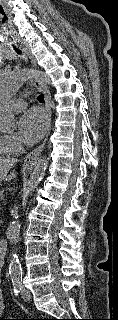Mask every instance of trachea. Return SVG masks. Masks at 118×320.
<instances>
[{
  "instance_id": "obj_1",
  "label": "trachea",
  "mask_w": 118,
  "mask_h": 320,
  "mask_svg": "<svg viewBox=\"0 0 118 320\" xmlns=\"http://www.w3.org/2000/svg\"><path fill=\"white\" fill-rule=\"evenodd\" d=\"M14 49L17 51V53L20 54V52H19L15 47H14ZM38 101L41 102V103L44 102V96H43V94H41V95L38 96Z\"/></svg>"
}]
</instances>
